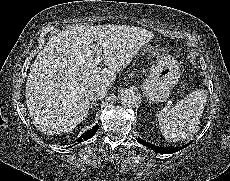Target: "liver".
I'll list each match as a JSON object with an SVG mask.
<instances>
[{
    "mask_svg": "<svg viewBox=\"0 0 230 181\" xmlns=\"http://www.w3.org/2000/svg\"><path fill=\"white\" fill-rule=\"evenodd\" d=\"M152 38L145 29L117 25H79L52 37L31 65L26 82V103L35 126L47 134L74 129L89 113L88 91L95 86L110 89L116 72ZM97 55L104 68L95 63Z\"/></svg>",
    "mask_w": 230,
    "mask_h": 181,
    "instance_id": "6515ba94",
    "label": "liver"
}]
</instances>
